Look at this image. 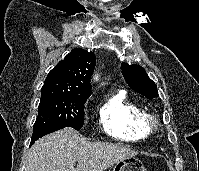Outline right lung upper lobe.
I'll list each match as a JSON object with an SVG mask.
<instances>
[{
    "mask_svg": "<svg viewBox=\"0 0 199 171\" xmlns=\"http://www.w3.org/2000/svg\"><path fill=\"white\" fill-rule=\"evenodd\" d=\"M95 63L93 52L73 49L49 72L41 90L88 98L91 95L90 77Z\"/></svg>",
    "mask_w": 199,
    "mask_h": 171,
    "instance_id": "obj_1",
    "label": "right lung upper lobe"
}]
</instances>
